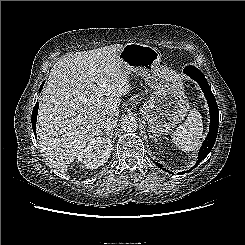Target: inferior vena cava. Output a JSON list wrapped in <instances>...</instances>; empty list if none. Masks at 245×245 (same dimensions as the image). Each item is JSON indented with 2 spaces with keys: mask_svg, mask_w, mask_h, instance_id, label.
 <instances>
[{
  "mask_svg": "<svg viewBox=\"0 0 245 245\" xmlns=\"http://www.w3.org/2000/svg\"><path fill=\"white\" fill-rule=\"evenodd\" d=\"M116 125H117V117H113V116H106L103 118L101 122V128L107 131L113 130Z\"/></svg>",
  "mask_w": 245,
  "mask_h": 245,
  "instance_id": "1",
  "label": "inferior vena cava"
}]
</instances>
